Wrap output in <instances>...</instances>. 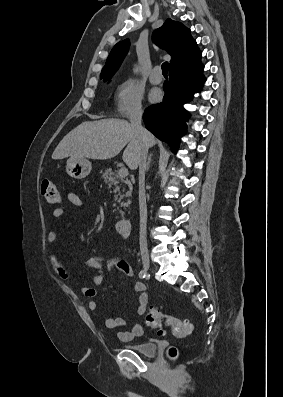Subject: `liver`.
I'll use <instances>...</instances> for the list:
<instances>
[{"mask_svg": "<svg viewBox=\"0 0 283 397\" xmlns=\"http://www.w3.org/2000/svg\"><path fill=\"white\" fill-rule=\"evenodd\" d=\"M149 147L155 145V137L149 133ZM123 161L131 170L138 167L143 148L131 124L120 119L86 121L70 131L58 144L52 159L68 156L106 160L117 156L124 148Z\"/></svg>", "mask_w": 283, "mask_h": 397, "instance_id": "liver-1", "label": "liver"}]
</instances>
